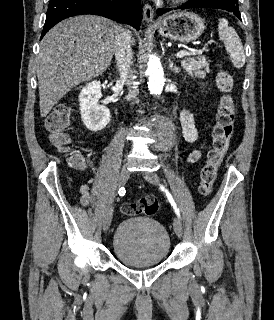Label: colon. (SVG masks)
<instances>
[{
	"instance_id": "1",
	"label": "colon",
	"mask_w": 274,
	"mask_h": 320,
	"mask_svg": "<svg viewBox=\"0 0 274 320\" xmlns=\"http://www.w3.org/2000/svg\"><path fill=\"white\" fill-rule=\"evenodd\" d=\"M217 85L222 90L223 96L219 101L218 112L212 131V147L208 158L201 171L199 194L206 198L210 195L225 155L229 151L235 131V106L233 98L229 95L232 88V77L229 72L222 70L217 77ZM70 123V112L67 107H56L47 117L45 127L50 133L53 146L64 152L69 151L71 138L66 133ZM71 164L75 168H82L84 159L79 154L70 155ZM158 210V202L154 198H142L136 202L124 203L121 212L125 216L145 214L154 216Z\"/></svg>"
}]
</instances>
